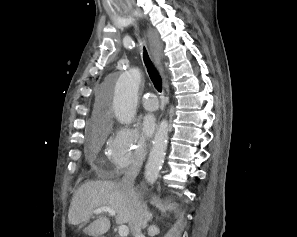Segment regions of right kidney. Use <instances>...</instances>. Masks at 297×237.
Listing matches in <instances>:
<instances>
[{"instance_id": "right-kidney-1", "label": "right kidney", "mask_w": 297, "mask_h": 237, "mask_svg": "<svg viewBox=\"0 0 297 237\" xmlns=\"http://www.w3.org/2000/svg\"><path fill=\"white\" fill-rule=\"evenodd\" d=\"M157 234H159V228H157L155 225H152L148 228V235L150 237H154Z\"/></svg>"}]
</instances>
